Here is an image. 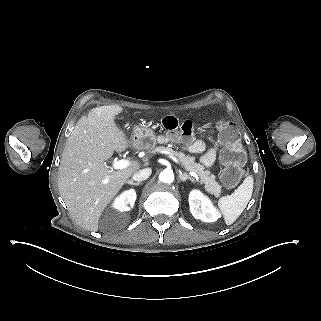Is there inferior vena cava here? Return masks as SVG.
<instances>
[{"mask_svg":"<svg viewBox=\"0 0 321 321\" xmlns=\"http://www.w3.org/2000/svg\"><path fill=\"white\" fill-rule=\"evenodd\" d=\"M151 174H152L151 168H144L139 170L137 173L133 175V180L140 182L148 179Z\"/></svg>","mask_w":321,"mask_h":321,"instance_id":"obj_1","label":"inferior vena cava"}]
</instances>
